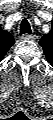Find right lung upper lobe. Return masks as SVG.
Listing matches in <instances>:
<instances>
[{
  "label": "right lung upper lobe",
  "instance_id": "right-lung-upper-lobe-1",
  "mask_svg": "<svg viewBox=\"0 0 53 120\" xmlns=\"http://www.w3.org/2000/svg\"><path fill=\"white\" fill-rule=\"evenodd\" d=\"M14 43L12 35L0 29V60L4 58L5 54Z\"/></svg>",
  "mask_w": 53,
  "mask_h": 120
}]
</instances>
